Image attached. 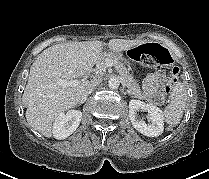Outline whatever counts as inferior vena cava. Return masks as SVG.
Here are the masks:
<instances>
[{
  "label": "inferior vena cava",
  "instance_id": "obj_1",
  "mask_svg": "<svg viewBox=\"0 0 209 179\" xmlns=\"http://www.w3.org/2000/svg\"><path fill=\"white\" fill-rule=\"evenodd\" d=\"M101 83V80L99 79H93L91 80L86 89H85V92L84 94L82 95V100L85 101L88 97V95Z\"/></svg>",
  "mask_w": 209,
  "mask_h": 179
}]
</instances>
